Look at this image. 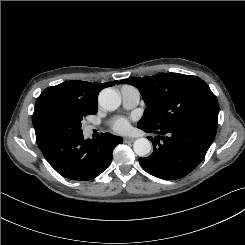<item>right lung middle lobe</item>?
<instances>
[{
    "mask_svg": "<svg viewBox=\"0 0 245 245\" xmlns=\"http://www.w3.org/2000/svg\"><path fill=\"white\" fill-rule=\"evenodd\" d=\"M96 113L97 107L84 105L57 90H44L36 100L32 122L36 137L50 142L81 134L83 118Z\"/></svg>",
    "mask_w": 245,
    "mask_h": 245,
    "instance_id": "1",
    "label": "right lung middle lobe"
}]
</instances>
